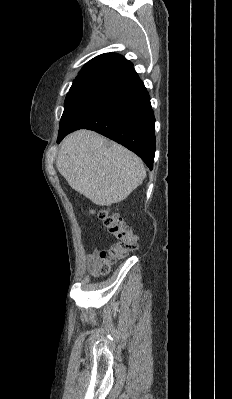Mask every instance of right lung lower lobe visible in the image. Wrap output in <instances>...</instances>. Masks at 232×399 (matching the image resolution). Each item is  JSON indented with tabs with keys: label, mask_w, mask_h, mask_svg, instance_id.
Segmentation results:
<instances>
[{
	"label": "right lung lower lobe",
	"mask_w": 232,
	"mask_h": 399,
	"mask_svg": "<svg viewBox=\"0 0 232 399\" xmlns=\"http://www.w3.org/2000/svg\"><path fill=\"white\" fill-rule=\"evenodd\" d=\"M154 124L148 92L132 67L65 103L57 142L78 129L94 130L136 153L152 170Z\"/></svg>",
	"instance_id": "1"
}]
</instances>
